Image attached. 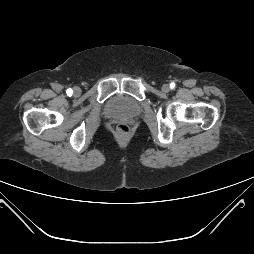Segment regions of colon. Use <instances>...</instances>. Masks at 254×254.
I'll return each mask as SVG.
<instances>
[{"label": "colon", "mask_w": 254, "mask_h": 254, "mask_svg": "<svg viewBox=\"0 0 254 254\" xmlns=\"http://www.w3.org/2000/svg\"><path fill=\"white\" fill-rule=\"evenodd\" d=\"M117 131H118L120 134L125 135V134H127V133L129 132V127H128V125H126V124H119V125L117 126Z\"/></svg>", "instance_id": "5ec220e1"}]
</instances>
